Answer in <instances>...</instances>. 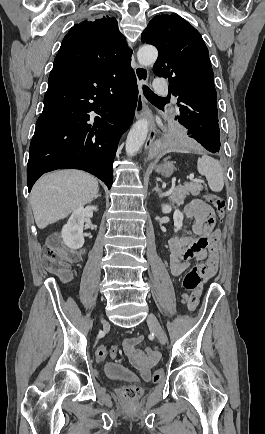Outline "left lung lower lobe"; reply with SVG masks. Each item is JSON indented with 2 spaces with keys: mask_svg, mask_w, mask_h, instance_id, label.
Returning <instances> with one entry per match:
<instances>
[{
  "mask_svg": "<svg viewBox=\"0 0 265 434\" xmlns=\"http://www.w3.org/2000/svg\"><path fill=\"white\" fill-rule=\"evenodd\" d=\"M219 129H188V135L196 140L204 149L211 153H217L221 150Z\"/></svg>",
  "mask_w": 265,
  "mask_h": 434,
  "instance_id": "left-lung-lower-lobe-1",
  "label": "left lung lower lobe"
}]
</instances>
